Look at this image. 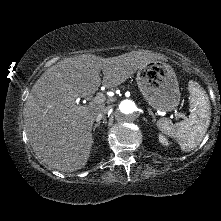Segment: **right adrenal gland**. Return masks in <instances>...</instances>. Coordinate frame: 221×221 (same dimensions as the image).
Segmentation results:
<instances>
[{
    "instance_id": "1",
    "label": "right adrenal gland",
    "mask_w": 221,
    "mask_h": 221,
    "mask_svg": "<svg viewBox=\"0 0 221 221\" xmlns=\"http://www.w3.org/2000/svg\"><path fill=\"white\" fill-rule=\"evenodd\" d=\"M100 124H101V122H98L97 124L94 125V127H93L94 132H95L96 128L100 126Z\"/></svg>"
}]
</instances>
